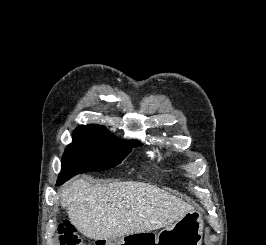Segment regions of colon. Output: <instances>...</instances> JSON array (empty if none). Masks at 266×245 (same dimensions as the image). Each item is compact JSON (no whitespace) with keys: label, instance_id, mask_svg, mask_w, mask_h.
Wrapping results in <instances>:
<instances>
[{"label":"colon","instance_id":"colon-1","mask_svg":"<svg viewBox=\"0 0 266 245\" xmlns=\"http://www.w3.org/2000/svg\"><path fill=\"white\" fill-rule=\"evenodd\" d=\"M59 241L60 245H85L83 238L68 219H64L60 225Z\"/></svg>","mask_w":266,"mask_h":245}]
</instances>
